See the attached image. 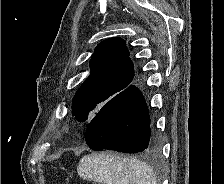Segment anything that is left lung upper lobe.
Wrapping results in <instances>:
<instances>
[{
    "instance_id": "obj_1",
    "label": "left lung upper lobe",
    "mask_w": 224,
    "mask_h": 184,
    "mask_svg": "<svg viewBox=\"0 0 224 184\" xmlns=\"http://www.w3.org/2000/svg\"><path fill=\"white\" fill-rule=\"evenodd\" d=\"M90 67L89 77L73 98L72 116L79 122L92 119L108 100L129 87L134 78L133 64L121 38L98 44Z\"/></svg>"
}]
</instances>
